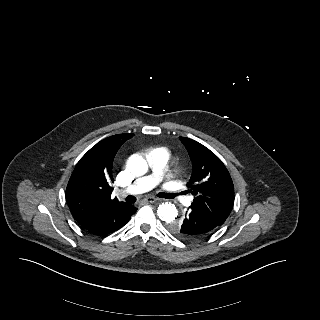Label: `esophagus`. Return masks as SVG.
I'll return each instance as SVG.
<instances>
[{"label": "esophagus", "mask_w": 320, "mask_h": 320, "mask_svg": "<svg viewBox=\"0 0 320 320\" xmlns=\"http://www.w3.org/2000/svg\"><path fill=\"white\" fill-rule=\"evenodd\" d=\"M145 201H146L147 203H154V202L157 201V198L150 196V197H147V198L145 199Z\"/></svg>", "instance_id": "1"}]
</instances>
